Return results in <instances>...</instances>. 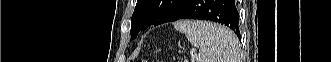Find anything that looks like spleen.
Here are the masks:
<instances>
[{
	"mask_svg": "<svg viewBox=\"0 0 331 62\" xmlns=\"http://www.w3.org/2000/svg\"><path fill=\"white\" fill-rule=\"evenodd\" d=\"M174 27L200 48L197 62H240L238 40L227 27L199 20L179 21Z\"/></svg>",
	"mask_w": 331,
	"mask_h": 62,
	"instance_id": "spleen-1",
	"label": "spleen"
}]
</instances>
